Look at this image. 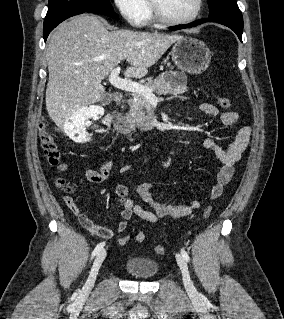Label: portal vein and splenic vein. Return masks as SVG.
Returning <instances> with one entry per match:
<instances>
[{
  "instance_id": "18ae733b",
  "label": "portal vein and splenic vein",
  "mask_w": 284,
  "mask_h": 319,
  "mask_svg": "<svg viewBox=\"0 0 284 319\" xmlns=\"http://www.w3.org/2000/svg\"><path fill=\"white\" fill-rule=\"evenodd\" d=\"M120 67L114 68L110 75H109V82L111 85L114 87L124 90V91H129L137 94L143 95L149 102H157L158 98L153 94V89L148 88L144 85H141L139 83L127 80V79H122L119 77L120 73Z\"/></svg>"
}]
</instances>
